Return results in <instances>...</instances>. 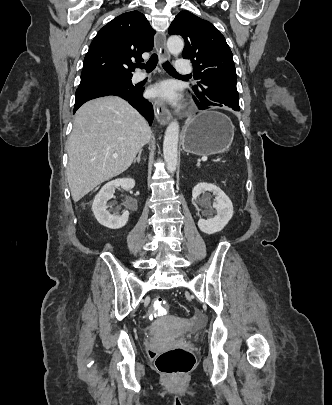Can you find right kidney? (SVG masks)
<instances>
[{
  "instance_id": "1",
  "label": "right kidney",
  "mask_w": 332,
  "mask_h": 405,
  "mask_svg": "<svg viewBox=\"0 0 332 405\" xmlns=\"http://www.w3.org/2000/svg\"><path fill=\"white\" fill-rule=\"evenodd\" d=\"M122 187L130 190L135 187V181L131 178H119L105 184L97 193L92 204V211L97 221L110 229H120L124 227L129 219V211H124L122 215H112L107 210V201L114 195L115 188Z\"/></svg>"
}]
</instances>
